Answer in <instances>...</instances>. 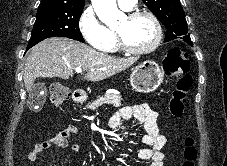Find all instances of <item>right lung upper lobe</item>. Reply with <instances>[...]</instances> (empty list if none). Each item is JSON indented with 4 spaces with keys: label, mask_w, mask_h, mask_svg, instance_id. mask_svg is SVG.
Returning <instances> with one entry per match:
<instances>
[{
    "label": "right lung upper lobe",
    "mask_w": 227,
    "mask_h": 166,
    "mask_svg": "<svg viewBox=\"0 0 227 166\" xmlns=\"http://www.w3.org/2000/svg\"><path fill=\"white\" fill-rule=\"evenodd\" d=\"M85 0H41L40 7H71L83 8Z\"/></svg>",
    "instance_id": "right-lung-upper-lobe-1"
}]
</instances>
